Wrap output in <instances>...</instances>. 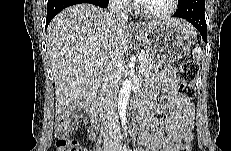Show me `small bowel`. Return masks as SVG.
Wrapping results in <instances>:
<instances>
[{
    "label": "small bowel",
    "instance_id": "small-bowel-1",
    "mask_svg": "<svg viewBox=\"0 0 231 151\" xmlns=\"http://www.w3.org/2000/svg\"><path fill=\"white\" fill-rule=\"evenodd\" d=\"M177 85V75L171 69L145 91V109L139 126L140 147L145 151H179L183 142L193 138L194 107L190 100L178 94ZM158 90L165 93L163 103L152 101ZM149 111L165 112L167 116L153 119Z\"/></svg>",
    "mask_w": 231,
    "mask_h": 151
}]
</instances>
